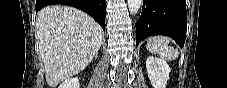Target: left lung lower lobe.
Returning a JSON list of instances; mask_svg holds the SVG:
<instances>
[{
	"label": "left lung lower lobe",
	"instance_id": "left-lung-lower-lobe-1",
	"mask_svg": "<svg viewBox=\"0 0 227 88\" xmlns=\"http://www.w3.org/2000/svg\"><path fill=\"white\" fill-rule=\"evenodd\" d=\"M187 30L185 0H144L142 13L136 22V45L151 35L173 38L182 48Z\"/></svg>",
	"mask_w": 227,
	"mask_h": 88
}]
</instances>
